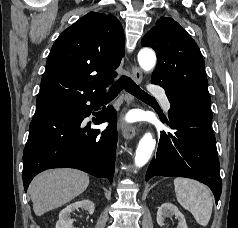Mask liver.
Here are the masks:
<instances>
[{
	"mask_svg": "<svg viewBox=\"0 0 238 228\" xmlns=\"http://www.w3.org/2000/svg\"><path fill=\"white\" fill-rule=\"evenodd\" d=\"M88 185L89 176L79 170L55 169L40 173L29 186L34 213L41 216L70 202Z\"/></svg>",
	"mask_w": 238,
	"mask_h": 228,
	"instance_id": "liver-1",
	"label": "liver"
}]
</instances>
